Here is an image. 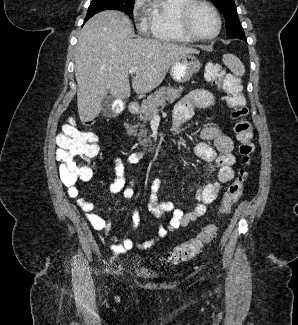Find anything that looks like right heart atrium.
Here are the masks:
<instances>
[{"label": "right heart atrium", "mask_w": 298, "mask_h": 325, "mask_svg": "<svg viewBox=\"0 0 298 325\" xmlns=\"http://www.w3.org/2000/svg\"><path fill=\"white\" fill-rule=\"evenodd\" d=\"M144 8V3L142 1H136L133 9V19L134 21H142V12ZM140 31L145 32L146 37L152 36L151 26L150 25H141Z\"/></svg>", "instance_id": "d8ad5b80"}]
</instances>
